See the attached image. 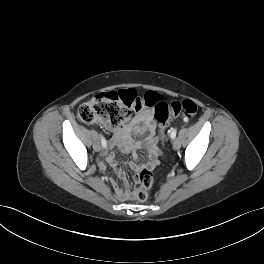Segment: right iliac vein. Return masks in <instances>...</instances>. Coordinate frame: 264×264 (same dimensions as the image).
Listing matches in <instances>:
<instances>
[{
	"label": "right iliac vein",
	"mask_w": 264,
	"mask_h": 264,
	"mask_svg": "<svg viewBox=\"0 0 264 264\" xmlns=\"http://www.w3.org/2000/svg\"><path fill=\"white\" fill-rule=\"evenodd\" d=\"M94 150L97 151V152L101 150L100 143L97 142V143L94 144Z\"/></svg>",
	"instance_id": "right-iliac-vein-1"
}]
</instances>
